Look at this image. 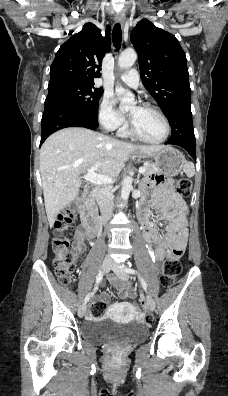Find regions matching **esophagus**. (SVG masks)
<instances>
[{
    "mask_svg": "<svg viewBox=\"0 0 228 396\" xmlns=\"http://www.w3.org/2000/svg\"><path fill=\"white\" fill-rule=\"evenodd\" d=\"M115 21H116L117 23L124 24V21H125V16H124V14H123V13H117V14L115 15Z\"/></svg>",
    "mask_w": 228,
    "mask_h": 396,
    "instance_id": "esophagus-1",
    "label": "esophagus"
}]
</instances>
